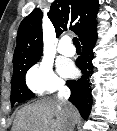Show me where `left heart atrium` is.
<instances>
[{"label":"left heart atrium","mask_w":117,"mask_h":131,"mask_svg":"<svg viewBox=\"0 0 117 131\" xmlns=\"http://www.w3.org/2000/svg\"><path fill=\"white\" fill-rule=\"evenodd\" d=\"M60 71L63 75H72L74 73V68L72 65L65 63L60 66Z\"/></svg>","instance_id":"left-heart-atrium-1"}]
</instances>
